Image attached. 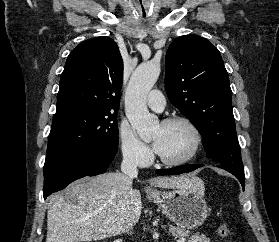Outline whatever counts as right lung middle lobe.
<instances>
[{"instance_id": "1", "label": "right lung middle lobe", "mask_w": 279, "mask_h": 242, "mask_svg": "<svg viewBox=\"0 0 279 242\" xmlns=\"http://www.w3.org/2000/svg\"><path fill=\"white\" fill-rule=\"evenodd\" d=\"M117 112L77 109L54 116L45 163L87 149L118 147Z\"/></svg>"}]
</instances>
